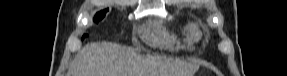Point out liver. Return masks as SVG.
I'll use <instances>...</instances> for the list:
<instances>
[{
    "label": "liver",
    "instance_id": "liver-1",
    "mask_svg": "<svg viewBox=\"0 0 287 76\" xmlns=\"http://www.w3.org/2000/svg\"><path fill=\"white\" fill-rule=\"evenodd\" d=\"M198 66L168 58L142 56L116 43L94 42L77 53L72 76H193Z\"/></svg>",
    "mask_w": 287,
    "mask_h": 76
}]
</instances>
